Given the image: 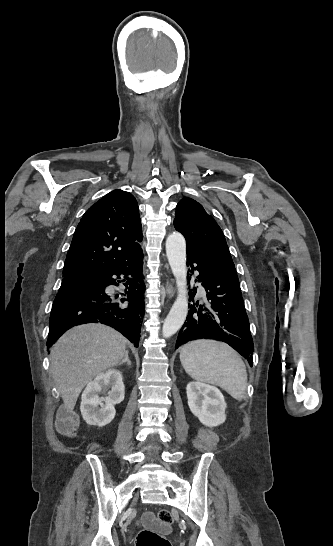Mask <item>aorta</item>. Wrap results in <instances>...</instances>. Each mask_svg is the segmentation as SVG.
Here are the masks:
<instances>
[{
    "instance_id": "1",
    "label": "aorta",
    "mask_w": 333,
    "mask_h": 546,
    "mask_svg": "<svg viewBox=\"0 0 333 546\" xmlns=\"http://www.w3.org/2000/svg\"><path fill=\"white\" fill-rule=\"evenodd\" d=\"M166 255L178 289V296L162 328L163 337L169 338L181 328L188 313L186 243L180 233L173 232L168 236Z\"/></svg>"
}]
</instances>
